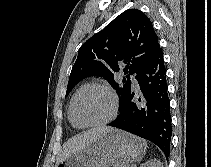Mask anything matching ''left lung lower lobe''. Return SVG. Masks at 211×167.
I'll return each instance as SVG.
<instances>
[{"label": "left lung lower lobe", "mask_w": 211, "mask_h": 167, "mask_svg": "<svg viewBox=\"0 0 211 167\" xmlns=\"http://www.w3.org/2000/svg\"><path fill=\"white\" fill-rule=\"evenodd\" d=\"M138 99L130 89L120 101L121 114L109 126L116 127L156 144L168 158L172 136L170 100L166 69L159 47L146 66L136 74Z\"/></svg>", "instance_id": "0a47b994"}]
</instances>
